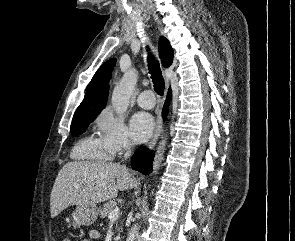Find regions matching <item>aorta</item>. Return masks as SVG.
I'll list each match as a JSON object with an SVG mask.
<instances>
[{
	"label": "aorta",
	"instance_id": "obj_1",
	"mask_svg": "<svg viewBox=\"0 0 295 241\" xmlns=\"http://www.w3.org/2000/svg\"><path fill=\"white\" fill-rule=\"evenodd\" d=\"M138 79V74L135 69H130L127 71L120 82L114 87L113 93H112V106L116 113H124L129 105L130 97L135 89L136 83ZM166 140L165 137L160 142L156 155L155 160L153 163V173L156 174L157 171L160 168V164L163 160V154L166 147ZM138 232V224H134L132 226L131 230L128 233V237L126 241H134L136 238V234Z\"/></svg>",
	"mask_w": 295,
	"mask_h": 241
}]
</instances>
